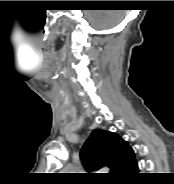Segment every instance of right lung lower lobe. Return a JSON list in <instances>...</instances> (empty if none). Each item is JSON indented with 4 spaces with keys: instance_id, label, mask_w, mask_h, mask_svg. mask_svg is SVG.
I'll return each instance as SVG.
<instances>
[{
    "instance_id": "1",
    "label": "right lung lower lobe",
    "mask_w": 174,
    "mask_h": 184,
    "mask_svg": "<svg viewBox=\"0 0 174 184\" xmlns=\"http://www.w3.org/2000/svg\"><path fill=\"white\" fill-rule=\"evenodd\" d=\"M138 166L136 163L135 158L132 159L122 170V172L118 175L120 178H127L132 176H137L138 173Z\"/></svg>"
}]
</instances>
